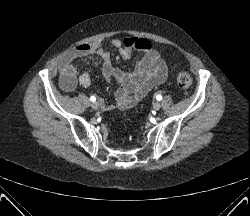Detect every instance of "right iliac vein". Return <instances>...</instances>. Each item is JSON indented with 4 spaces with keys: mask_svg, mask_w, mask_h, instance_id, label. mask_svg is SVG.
<instances>
[{
    "mask_svg": "<svg viewBox=\"0 0 250 216\" xmlns=\"http://www.w3.org/2000/svg\"><path fill=\"white\" fill-rule=\"evenodd\" d=\"M91 107L94 109V110H97L99 108V103L98 102H93Z\"/></svg>",
    "mask_w": 250,
    "mask_h": 216,
    "instance_id": "1",
    "label": "right iliac vein"
}]
</instances>
